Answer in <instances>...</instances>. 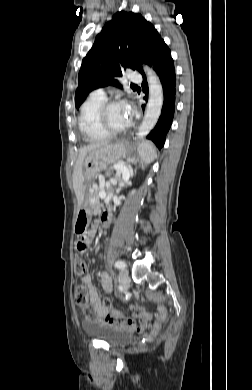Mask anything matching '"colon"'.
<instances>
[{
	"label": "colon",
	"instance_id": "obj_1",
	"mask_svg": "<svg viewBox=\"0 0 252 390\" xmlns=\"http://www.w3.org/2000/svg\"><path fill=\"white\" fill-rule=\"evenodd\" d=\"M85 222L80 223L77 227V232L82 235L81 239L77 242L76 248L78 253L75 255L74 259V272L76 275H82L86 271V261L83 253L86 251L88 245L87 231L85 229ZM89 294L88 289L85 284L78 285L74 291V300L77 305L83 307V311L86 317L92 318L95 316V309L88 304ZM104 304L111 307L110 301L105 298ZM103 321L110 323L112 325H122L125 321V315L118 310H112ZM160 328V321H158L153 328V332L157 333Z\"/></svg>",
	"mask_w": 252,
	"mask_h": 390
}]
</instances>
